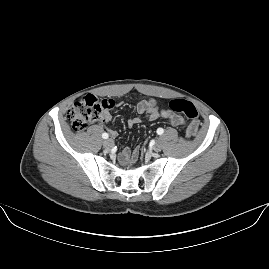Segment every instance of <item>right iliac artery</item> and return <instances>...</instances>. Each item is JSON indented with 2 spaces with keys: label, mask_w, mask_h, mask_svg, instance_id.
I'll use <instances>...</instances> for the list:
<instances>
[{
  "label": "right iliac artery",
  "mask_w": 269,
  "mask_h": 269,
  "mask_svg": "<svg viewBox=\"0 0 269 269\" xmlns=\"http://www.w3.org/2000/svg\"><path fill=\"white\" fill-rule=\"evenodd\" d=\"M102 137H103L104 139H107V138L109 137V135H108L107 133H103V134H102Z\"/></svg>",
  "instance_id": "right-iliac-artery-1"
}]
</instances>
